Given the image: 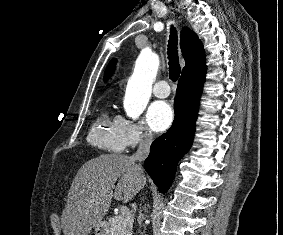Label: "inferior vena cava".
Here are the masks:
<instances>
[{"instance_id": "602c4592", "label": "inferior vena cava", "mask_w": 283, "mask_h": 235, "mask_svg": "<svg viewBox=\"0 0 283 235\" xmlns=\"http://www.w3.org/2000/svg\"><path fill=\"white\" fill-rule=\"evenodd\" d=\"M152 143V134L151 133H145L141 136L140 143L138 150L130 157L133 161H138L139 163L144 161L149 154L150 151V145ZM139 170H142V167L140 164L137 165ZM140 220H142L143 215L139 214Z\"/></svg>"}]
</instances>
